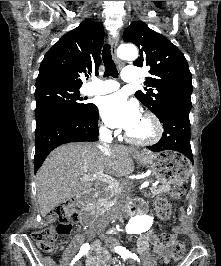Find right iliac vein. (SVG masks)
Instances as JSON below:
<instances>
[{"label":"right iliac vein","instance_id":"63e3f726","mask_svg":"<svg viewBox=\"0 0 221 266\" xmlns=\"http://www.w3.org/2000/svg\"><path fill=\"white\" fill-rule=\"evenodd\" d=\"M99 244V242H96V245H98ZM76 266H79L78 264H76Z\"/></svg>","mask_w":221,"mask_h":266}]
</instances>
